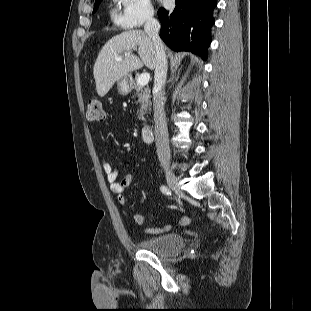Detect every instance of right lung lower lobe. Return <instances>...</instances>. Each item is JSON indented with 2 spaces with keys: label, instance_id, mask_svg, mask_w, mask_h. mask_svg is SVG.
<instances>
[{
  "label": "right lung lower lobe",
  "instance_id": "1",
  "mask_svg": "<svg viewBox=\"0 0 311 311\" xmlns=\"http://www.w3.org/2000/svg\"><path fill=\"white\" fill-rule=\"evenodd\" d=\"M173 11L158 10L160 37L174 51H191L202 57L211 43L216 0H175Z\"/></svg>",
  "mask_w": 311,
  "mask_h": 311
}]
</instances>
